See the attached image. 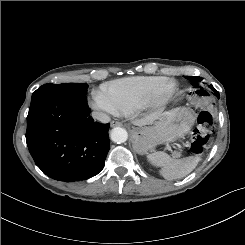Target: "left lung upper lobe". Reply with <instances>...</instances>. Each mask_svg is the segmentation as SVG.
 <instances>
[{
	"instance_id": "left-lung-upper-lobe-1",
	"label": "left lung upper lobe",
	"mask_w": 245,
	"mask_h": 245,
	"mask_svg": "<svg viewBox=\"0 0 245 245\" xmlns=\"http://www.w3.org/2000/svg\"><path fill=\"white\" fill-rule=\"evenodd\" d=\"M185 78L189 79L190 81L193 82V85H195V88H200L199 83L202 81L201 77L197 76H185ZM216 91L215 89H213ZM201 91V90H200ZM217 92V91H216ZM218 93V92H217ZM219 94V93H218ZM216 96V95H215ZM217 97V96H216Z\"/></svg>"
}]
</instances>
